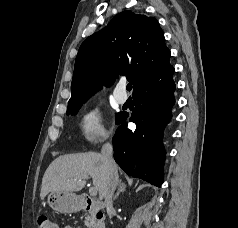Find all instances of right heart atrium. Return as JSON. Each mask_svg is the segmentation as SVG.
I'll list each match as a JSON object with an SVG mask.
<instances>
[{
    "label": "right heart atrium",
    "instance_id": "1",
    "mask_svg": "<svg viewBox=\"0 0 238 228\" xmlns=\"http://www.w3.org/2000/svg\"><path fill=\"white\" fill-rule=\"evenodd\" d=\"M79 132L83 143L88 146H93L109 138L110 132L98 106H91L82 113L79 121Z\"/></svg>",
    "mask_w": 238,
    "mask_h": 228
}]
</instances>
